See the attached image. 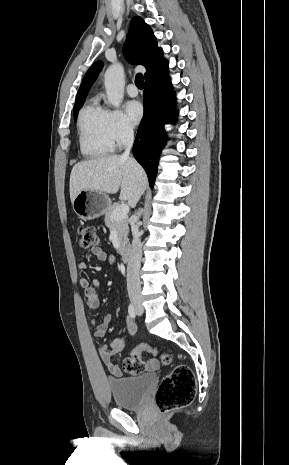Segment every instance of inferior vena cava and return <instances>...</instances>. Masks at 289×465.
Here are the masks:
<instances>
[{
  "label": "inferior vena cava",
  "instance_id": "602c4592",
  "mask_svg": "<svg viewBox=\"0 0 289 465\" xmlns=\"http://www.w3.org/2000/svg\"><path fill=\"white\" fill-rule=\"evenodd\" d=\"M125 151L122 154L123 158H129L130 150L134 142V133L131 127H126L124 130ZM133 224L131 231L133 235L129 261L127 265V290L131 300L138 299L141 292V284L139 277V270L141 266L142 250L139 232V227L135 224L139 217L135 214L132 216Z\"/></svg>",
  "mask_w": 289,
  "mask_h": 465
}]
</instances>
